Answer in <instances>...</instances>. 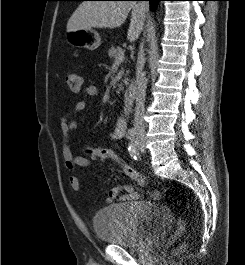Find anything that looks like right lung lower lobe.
<instances>
[{
    "label": "right lung lower lobe",
    "instance_id": "obj_1",
    "mask_svg": "<svg viewBox=\"0 0 245 265\" xmlns=\"http://www.w3.org/2000/svg\"><path fill=\"white\" fill-rule=\"evenodd\" d=\"M127 1H142V0H127ZM144 1H149L151 10H154L157 2L158 1H163V0H144Z\"/></svg>",
    "mask_w": 245,
    "mask_h": 265
}]
</instances>
